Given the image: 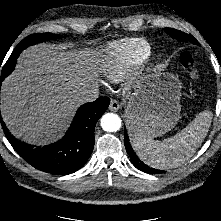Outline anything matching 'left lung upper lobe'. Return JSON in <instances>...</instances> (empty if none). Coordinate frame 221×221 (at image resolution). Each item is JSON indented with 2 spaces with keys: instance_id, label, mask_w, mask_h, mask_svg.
<instances>
[{
  "instance_id": "5c2ea615",
  "label": "left lung upper lobe",
  "mask_w": 221,
  "mask_h": 221,
  "mask_svg": "<svg viewBox=\"0 0 221 221\" xmlns=\"http://www.w3.org/2000/svg\"><path fill=\"white\" fill-rule=\"evenodd\" d=\"M165 31L172 37L179 41H190L193 43H197V41L190 35L181 32L179 30L173 29V28H165Z\"/></svg>"
}]
</instances>
